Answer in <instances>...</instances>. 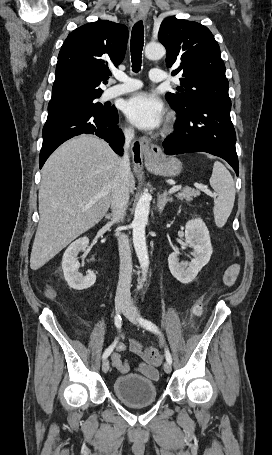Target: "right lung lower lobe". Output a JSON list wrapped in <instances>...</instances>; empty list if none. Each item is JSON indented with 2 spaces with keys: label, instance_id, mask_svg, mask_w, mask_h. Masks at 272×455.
<instances>
[{
  "label": "right lung lower lobe",
  "instance_id": "right-lung-lower-lobe-1",
  "mask_svg": "<svg viewBox=\"0 0 272 455\" xmlns=\"http://www.w3.org/2000/svg\"><path fill=\"white\" fill-rule=\"evenodd\" d=\"M118 113L114 109L108 114L72 111L48 117L43 127V144L39 156V167L51 153L66 140L80 134H95L109 143L122 155L124 136L117 126Z\"/></svg>",
  "mask_w": 272,
  "mask_h": 455
}]
</instances>
